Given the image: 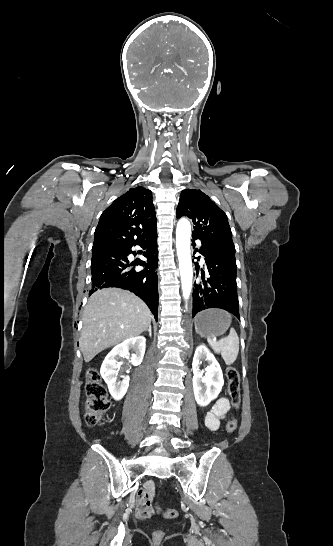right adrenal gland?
Returning <instances> with one entry per match:
<instances>
[{"label": "right adrenal gland", "mask_w": 333, "mask_h": 546, "mask_svg": "<svg viewBox=\"0 0 333 546\" xmlns=\"http://www.w3.org/2000/svg\"><path fill=\"white\" fill-rule=\"evenodd\" d=\"M152 326L151 324L149 325L148 329L146 331L149 332V336L152 338V330H151Z\"/></svg>", "instance_id": "2a0ac1e0"}]
</instances>
